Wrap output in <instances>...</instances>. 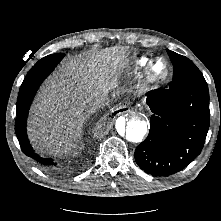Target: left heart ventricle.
<instances>
[{
  "mask_svg": "<svg viewBox=\"0 0 221 221\" xmlns=\"http://www.w3.org/2000/svg\"><path fill=\"white\" fill-rule=\"evenodd\" d=\"M166 72V65L163 61H158L154 66V73L158 76L164 75Z\"/></svg>",
  "mask_w": 221,
  "mask_h": 221,
  "instance_id": "obj_1",
  "label": "left heart ventricle"
}]
</instances>
